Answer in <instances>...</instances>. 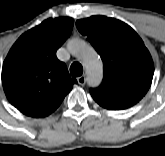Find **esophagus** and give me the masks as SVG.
Returning <instances> with one entry per match:
<instances>
[{
    "label": "esophagus",
    "mask_w": 165,
    "mask_h": 156,
    "mask_svg": "<svg viewBox=\"0 0 165 156\" xmlns=\"http://www.w3.org/2000/svg\"><path fill=\"white\" fill-rule=\"evenodd\" d=\"M77 82L79 85L83 86L86 83V77L85 76L78 77Z\"/></svg>",
    "instance_id": "esophagus-1"
}]
</instances>
